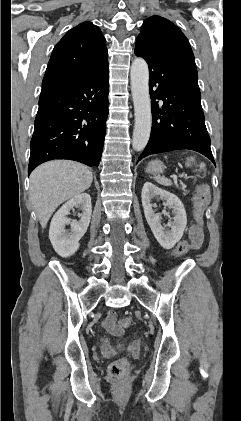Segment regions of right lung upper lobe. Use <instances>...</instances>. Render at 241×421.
Returning a JSON list of instances; mask_svg holds the SVG:
<instances>
[{"label":"right lung upper lobe","instance_id":"right-lung-upper-lobe-1","mask_svg":"<svg viewBox=\"0 0 241 421\" xmlns=\"http://www.w3.org/2000/svg\"><path fill=\"white\" fill-rule=\"evenodd\" d=\"M106 40L100 29L83 22L69 30L56 44L42 87L58 81L88 75L108 63Z\"/></svg>","mask_w":241,"mask_h":421}]
</instances>
